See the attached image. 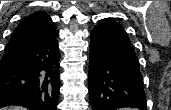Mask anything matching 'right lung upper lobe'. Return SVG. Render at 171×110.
Segmentation results:
<instances>
[{
  "label": "right lung upper lobe",
  "instance_id": "obj_1",
  "mask_svg": "<svg viewBox=\"0 0 171 110\" xmlns=\"http://www.w3.org/2000/svg\"><path fill=\"white\" fill-rule=\"evenodd\" d=\"M56 32L50 16L44 11L22 18L5 47L4 56H19L23 51L47 41Z\"/></svg>",
  "mask_w": 171,
  "mask_h": 110
}]
</instances>
